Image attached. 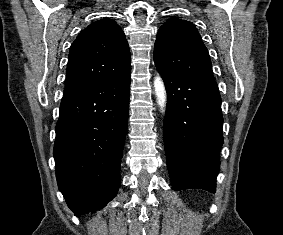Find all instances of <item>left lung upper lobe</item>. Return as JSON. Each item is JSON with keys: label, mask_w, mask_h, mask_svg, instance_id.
Masks as SVG:
<instances>
[{"label": "left lung upper lobe", "mask_w": 283, "mask_h": 235, "mask_svg": "<svg viewBox=\"0 0 283 235\" xmlns=\"http://www.w3.org/2000/svg\"><path fill=\"white\" fill-rule=\"evenodd\" d=\"M154 62L162 70L215 81L208 50L196 27L186 20L172 18L160 27L154 47Z\"/></svg>", "instance_id": "5c2ea615"}]
</instances>
